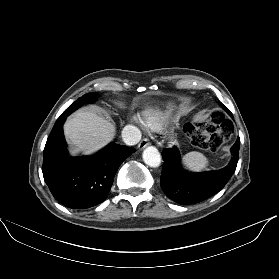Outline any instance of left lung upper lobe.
I'll use <instances>...</instances> for the list:
<instances>
[{"mask_svg":"<svg viewBox=\"0 0 279 279\" xmlns=\"http://www.w3.org/2000/svg\"><path fill=\"white\" fill-rule=\"evenodd\" d=\"M220 106L229 113V110L222 103H220Z\"/></svg>","mask_w":279,"mask_h":279,"instance_id":"1","label":"left lung upper lobe"}]
</instances>
